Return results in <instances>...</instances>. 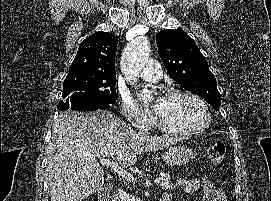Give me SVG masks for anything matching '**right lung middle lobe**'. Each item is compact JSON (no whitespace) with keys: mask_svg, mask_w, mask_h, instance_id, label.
Wrapping results in <instances>:
<instances>
[{"mask_svg":"<svg viewBox=\"0 0 271 201\" xmlns=\"http://www.w3.org/2000/svg\"><path fill=\"white\" fill-rule=\"evenodd\" d=\"M116 74L93 72L68 73L63 84V99H81L85 103L116 102Z\"/></svg>","mask_w":271,"mask_h":201,"instance_id":"obj_1","label":"right lung middle lobe"}]
</instances>
